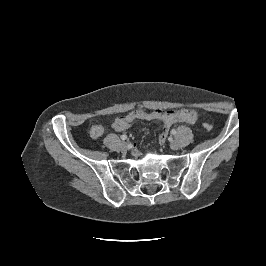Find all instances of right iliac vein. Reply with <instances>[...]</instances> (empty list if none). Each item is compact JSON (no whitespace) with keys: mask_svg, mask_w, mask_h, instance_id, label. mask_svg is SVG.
<instances>
[{"mask_svg":"<svg viewBox=\"0 0 266 266\" xmlns=\"http://www.w3.org/2000/svg\"><path fill=\"white\" fill-rule=\"evenodd\" d=\"M120 148H121L122 151H126L127 148H128V143L127 142H122L120 144Z\"/></svg>","mask_w":266,"mask_h":266,"instance_id":"obj_1","label":"right iliac vein"}]
</instances>
